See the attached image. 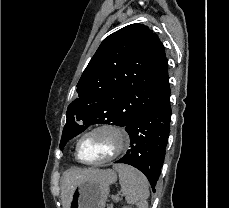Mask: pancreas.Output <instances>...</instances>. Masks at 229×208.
I'll return each mask as SVG.
<instances>
[{
    "mask_svg": "<svg viewBox=\"0 0 229 208\" xmlns=\"http://www.w3.org/2000/svg\"><path fill=\"white\" fill-rule=\"evenodd\" d=\"M108 208H113L112 204H109Z\"/></svg>",
    "mask_w": 229,
    "mask_h": 208,
    "instance_id": "1",
    "label": "pancreas"
}]
</instances>
